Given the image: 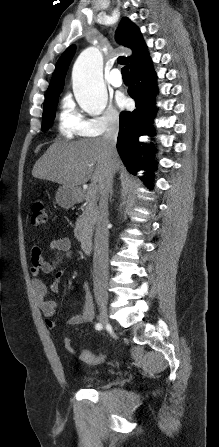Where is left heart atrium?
I'll use <instances>...</instances> for the list:
<instances>
[{"label": "left heart atrium", "mask_w": 219, "mask_h": 447, "mask_svg": "<svg viewBox=\"0 0 219 447\" xmlns=\"http://www.w3.org/2000/svg\"><path fill=\"white\" fill-rule=\"evenodd\" d=\"M117 104L119 105V107L123 108L127 105V99L124 96H118Z\"/></svg>", "instance_id": "obj_1"}]
</instances>
